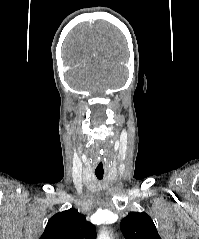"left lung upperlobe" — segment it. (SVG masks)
<instances>
[{"instance_id": "5c2ea615", "label": "left lung upper lobe", "mask_w": 199, "mask_h": 239, "mask_svg": "<svg viewBox=\"0 0 199 239\" xmlns=\"http://www.w3.org/2000/svg\"><path fill=\"white\" fill-rule=\"evenodd\" d=\"M125 239H161L146 213L130 212L120 223Z\"/></svg>"}]
</instances>
